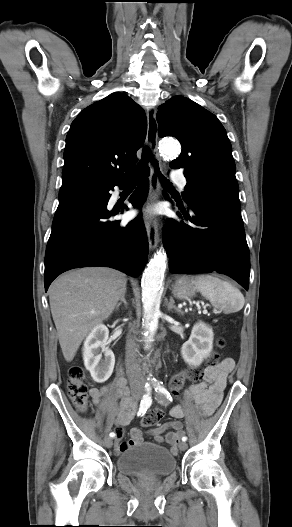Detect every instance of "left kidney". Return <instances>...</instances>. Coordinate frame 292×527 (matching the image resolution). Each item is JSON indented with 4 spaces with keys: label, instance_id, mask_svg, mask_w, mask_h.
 Segmentation results:
<instances>
[{
    "label": "left kidney",
    "instance_id": "obj_1",
    "mask_svg": "<svg viewBox=\"0 0 292 527\" xmlns=\"http://www.w3.org/2000/svg\"><path fill=\"white\" fill-rule=\"evenodd\" d=\"M213 337L212 328L202 321L196 323L192 328L189 340L181 348L184 361L190 366H199L213 349Z\"/></svg>",
    "mask_w": 292,
    "mask_h": 527
}]
</instances>
